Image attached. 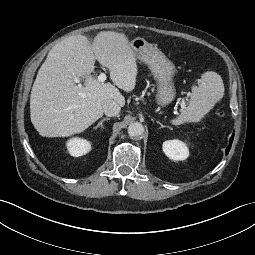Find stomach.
Wrapping results in <instances>:
<instances>
[{
    "mask_svg": "<svg viewBox=\"0 0 255 255\" xmlns=\"http://www.w3.org/2000/svg\"><path fill=\"white\" fill-rule=\"evenodd\" d=\"M138 60L148 65L157 84L156 102L165 107L170 104L175 96L173 78L176 73L175 65L156 46L148 43L143 38H135L130 42Z\"/></svg>",
    "mask_w": 255,
    "mask_h": 255,
    "instance_id": "0dacf381",
    "label": "stomach"
}]
</instances>
